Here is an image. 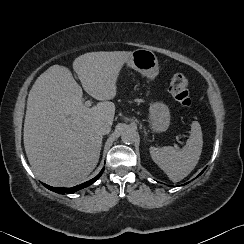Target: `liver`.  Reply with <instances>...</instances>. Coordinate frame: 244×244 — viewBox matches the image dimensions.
Listing matches in <instances>:
<instances>
[{
	"instance_id": "6515ba94",
	"label": "liver",
	"mask_w": 244,
	"mask_h": 244,
	"mask_svg": "<svg viewBox=\"0 0 244 244\" xmlns=\"http://www.w3.org/2000/svg\"><path fill=\"white\" fill-rule=\"evenodd\" d=\"M132 52H90L77 57L73 69L83 89L100 102L86 107L82 88L71 71L53 65L32 86L24 122V147L30 165L46 183L72 186L95 169L103 136L97 126L112 124L116 82Z\"/></svg>"
}]
</instances>
